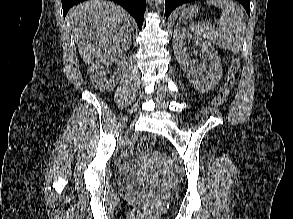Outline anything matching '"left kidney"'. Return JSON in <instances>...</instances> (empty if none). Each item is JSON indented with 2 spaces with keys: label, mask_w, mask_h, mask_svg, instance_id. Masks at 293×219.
Listing matches in <instances>:
<instances>
[{
  "label": "left kidney",
  "mask_w": 293,
  "mask_h": 219,
  "mask_svg": "<svg viewBox=\"0 0 293 219\" xmlns=\"http://www.w3.org/2000/svg\"><path fill=\"white\" fill-rule=\"evenodd\" d=\"M185 39L192 40L201 48V53L205 58L203 65L200 67L195 68L191 63L190 57L185 50ZM173 49L183 71L187 73L189 81L196 90L205 93L218 84L222 76L221 59L210 43L201 37L193 35L184 28H177L173 34ZM207 61L210 63L208 72L206 71ZM204 72H206L205 75L203 74Z\"/></svg>",
  "instance_id": "1"
}]
</instances>
